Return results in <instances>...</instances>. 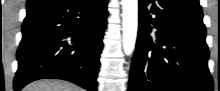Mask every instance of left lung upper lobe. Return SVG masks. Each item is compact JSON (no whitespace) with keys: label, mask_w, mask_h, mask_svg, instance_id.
Instances as JSON below:
<instances>
[{"label":"left lung upper lobe","mask_w":220,"mask_h":91,"mask_svg":"<svg viewBox=\"0 0 220 91\" xmlns=\"http://www.w3.org/2000/svg\"><path fill=\"white\" fill-rule=\"evenodd\" d=\"M191 1H193V2H195V3H197V4H199V0H191Z\"/></svg>","instance_id":"1"}]
</instances>
